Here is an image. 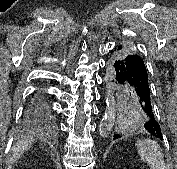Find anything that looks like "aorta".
I'll use <instances>...</instances> for the list:
<instances>
[{"label": "aorta", "mask_w": 177, "mask_h": 169, "mask_svg": "<svg viewBox=\"0 0 177 169\" xmlns=\"http://www.w3.org/2000/svg\"><path fill=\"white\" fill-rule=\"evenodd\" d=\"M115 119H116L115 100L111 94H108L106 99L105 115L101 124L102 132L104 134H109L112 131Z\"/></svg>", "instance_id": "1"}]
</instances>
